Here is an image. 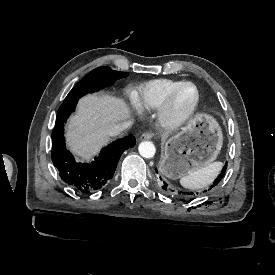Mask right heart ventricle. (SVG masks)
<instances>
[{"label": "right heart ventricle", "instance_id": "obj_1", "mask_svg": "<svg viewBox=\"0 0 275 275\" xmlns=\"http://www.w3.org/2000/svg\"><path fill=\"white\" fill-rule=\"evenodd\" d=\"M177 83L179 82L170 79L150 81L135 93L133 96V102L142 110L159 109Z\"/></svg>", "mask_w": 275, "mask_h": 275}]
</instances>
